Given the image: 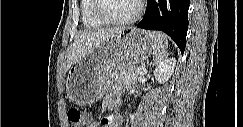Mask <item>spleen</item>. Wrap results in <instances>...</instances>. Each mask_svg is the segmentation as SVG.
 Segmentation results:
<instances>
[{
  "label": "spleen",
  "mask_w": 243,
  "mask_h": 127,
  "mask_svg": "<svg viewBox=\"0 0 243 127\" xmlns=\"http://www.w3.org/2000/svg\"><path fill=\"white\" fill-rule=\"evenodd\" d=\"M153 38L155 41L153 60L154 62L159 63L167 56L168 41L166 36L161 33H155Z\"/></svg>",
  "instance_id": "3e777b00"
}]
</instances>
